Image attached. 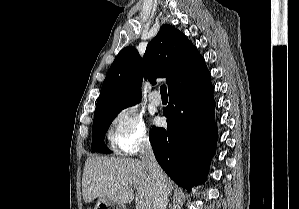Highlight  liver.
<instances>
[{"label":"liver","instance_id":"liver-1","mask_svg":"<svg viewBox=\"0 0 299 209\" xmlns=\"http://www.w3.org/2000/svg\"><path fill=\"white\" fill-rule=\"evenodd\" d=\"M165 185L169 194L173 182L166 175ZM82 194L86 203L101 198L119 205L130 203L135 197L136 209H153L157 198L154 180L142 161L103 156L87 158L82 176Z\"/></svg>","mask_w":299,"mask_h":209}]
</instances>
